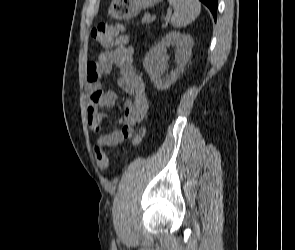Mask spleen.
Segmentation results:
<instances>
[{
	"label": "spleen",
	"instance_id": "1",
	"mask_svg": "<svg viewBox=\"0 0 295 250\" xmlns=\"http://www.w3.org/2000/svg\"><path fill=\"white\" fill-rule=\"evenodd\" d=\"M174 7L171 24L175 28L185 27L193 22L201 11L199 0H168Z\"/></svg>",
	"mask_w": 295,
	"mask_h": 250
}]
</instances>
